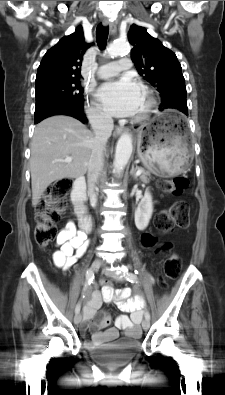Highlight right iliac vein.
<instances>
[{"label": "right iliac vein", "mask_w": 225, "mask_h": 395, "mask_svg": "<svg viewBox=\"0 0 225 395\" xmlns=\"http://www.w3.org/2000/svg\"><path fill=\"white\" fill-rule=\"evenodd\" d=\"M101 264H102V262H101L100 259H95V260L93 261L92 265H91V271H92V272L97 271V270L99 269V267L101 266ZM81 319H82L81 314H80V313H77V314L74 316V323H75V324H79V323L81 322Z\"/></svg>", "instance_id": "right-iliac-vein-1"}]
</instances>
